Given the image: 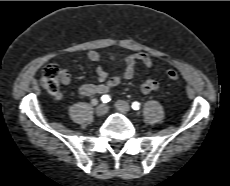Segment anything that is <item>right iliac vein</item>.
<instances>
[{
  "label": "right iliac vein",
  "instance_id": "right-iliac-vein-1",
  "mask_svg": "<svg viewBox=\"0 0 230 186\" xmlns=\"http://www.w3.org/2000/svg\"><path fill=\"white\" fill-rule=\"evenodd\" d=\"M107 112H108V107L106 104H103V103L98 105L96 110H95V113L98 116H104Z\"/></svg>",
  "mask_w": 230,
  "mask_h": 186
}]
</instances>
